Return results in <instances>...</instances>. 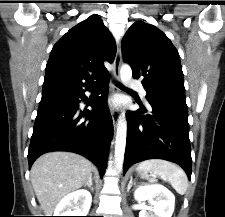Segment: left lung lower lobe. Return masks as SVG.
<instances>
[{
	"mask_svg": "<svg viewBox=\"0 0 225 217\" xmlns=\"http://www.w3.org/2000/svg\"><path fill=\"white\" fill-rule=\"evenodd\" d=\"M151 110L140 105L127 111V141L123 173L134 163L158 158L179 164L189 180L192 173L188 109L185 99L146 97Z\"/></svg>",
	"mask_w": 225,
	"mask_h": 217,
	"instance_id": "left-lung-lower-lobe-1",
	"label": "left lung lower lobe"
}]
</instances>
